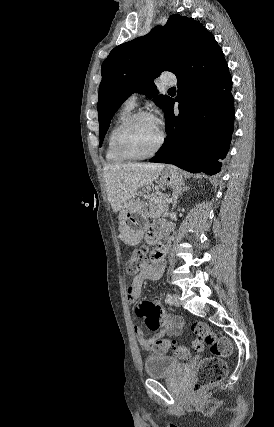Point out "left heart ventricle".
I'll return each mask as SVG.
<instances>
[{"label": "left heart ventricle", "instance_id": "left-heart-ventricle-1", "mask_svg": "<svg viewBox=\"0 0 274 427\" xmlns=\"http://www.w3.org/2000/svg\"><path fill=\"white\" fill-rule=\"evenodd\" d=\"M161 128L152 117L137 120L127 131L125 143L127 148L136 155H146L158 145Z\"/></svg>", "mask_w": 274, "mask_h": 427}]
</instances>
